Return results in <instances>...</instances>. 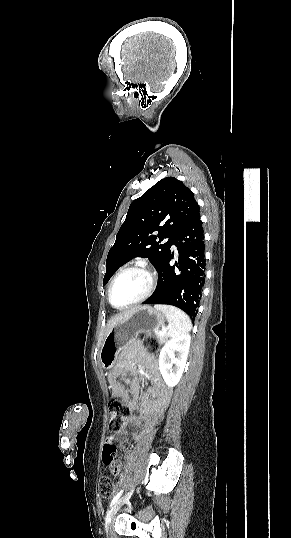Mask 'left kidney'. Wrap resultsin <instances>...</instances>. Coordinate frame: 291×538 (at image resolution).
I'll use <instances>...</instances> for the list:
<instances>
[{"label":"left kidney","instance_id":"obj_1","mask_svg":"<svg viewBox=\"0 0 291 538\" xmlns=\"http://www.w3.org/2000/svg\"><path fill=\"white\" fill-rule=\"evenodd\" d=\"M190 341L189 334H182L167 341L160 351L159 369L168 387H174L180 381L185 369Z\"/></svg>","mask_w":291,"mask_h":538}]
</instances>
